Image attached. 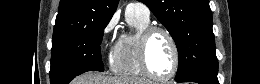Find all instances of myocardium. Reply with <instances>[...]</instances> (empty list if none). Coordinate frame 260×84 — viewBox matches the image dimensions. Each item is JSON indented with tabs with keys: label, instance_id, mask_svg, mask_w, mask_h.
<instances>
[{
	"label": "myocardium",
	"instance_id": "1",
	"mask_svg": "<svg viewBox=\"0 0 260 84\" xmlns=\"http://www.w3.org/2000/svg\"><path fill=\"white\" fill-rule=\"evenodd\" d=\"M157 32L163 33L168 38L173 50V68L167 76H160L155 74L149 66V61H148L149 42L152 36ZM139 60H140V66L143 73L149 78L159 82H167L173 79L180 68L179 47L174 35L168 29L162 26L149 25L148 27H146L144 30H142L139 38Z\"/></svg>",
	"mask_w": 260,
	"mask_h": 84
}]
</instances>
